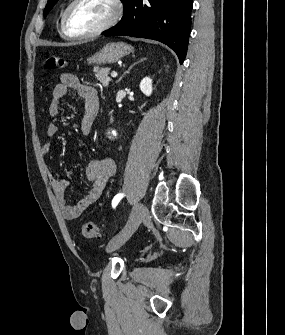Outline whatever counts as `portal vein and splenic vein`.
I'll use <instances>...</instances> for the list:
<instances>
[{
	"mask_svg": "<svg viewBox=\"0 0 285 335\" xmlns=\"http://www.w3.org/2000/svg\"><path fill=\"white\" fill-rule=\"evenodd\" d=\"M112 78H116V76H118L117 72H112L111 74Z\"/></svg>",
	"mask_w": 285,
	"mask_h": 335,
	"instance_id": "1",
	"label": "portal vein and splenic vein"
}]
</instances>
